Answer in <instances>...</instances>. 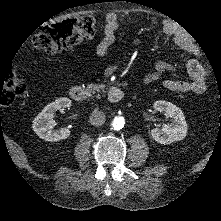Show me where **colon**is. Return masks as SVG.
I'll return each mask as SVG.
<instances>
[{
  "mask_svg": "<svg viewBox=\"0 0 221 221\" xmlns=\"http://www.w3.org/2000/svg\"><path fill=\"white\" fill-rule=\"evenodd\" d=\"M95 36V21L90 16L67 19L41 27L34 37L37 48L53 55L74 45L92 40ZM3 85V86H2ZM24 79L15 72L0 79V104L9 105L26 93Z\"/></svg>",
  "mask_w": 221,
  "mask_h": 221,
  "instance_id": "1",
  "label": "colon"
}]
</instances>
